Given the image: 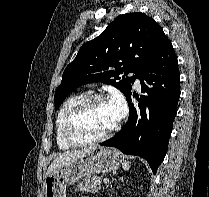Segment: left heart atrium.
<instances>
[{"label":"left heart atrium","instance_id":"obj_1","mask_svg":"<svg viewBox=\"0 0 209 197\" xmlns=\"http://www.w3.org/2000/svg\"><path fill=\"white\" fill-rule=\"evenodd\" d=\"M108 109L110 110L112 117L115 121L120 120V118L124 115L125 113V105L123 99L115 95L113 96L108 102H107Z\"/></svg>","mask_w":209,"mask_h":197}]
</instances>
